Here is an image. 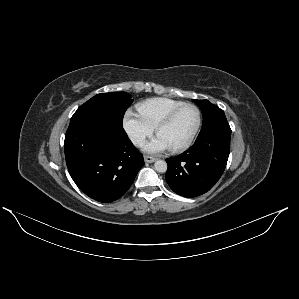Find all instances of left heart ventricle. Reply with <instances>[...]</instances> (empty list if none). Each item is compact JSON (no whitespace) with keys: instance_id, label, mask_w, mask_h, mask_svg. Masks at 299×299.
<instances>
[{"instance_id":"b2bd125f","label":"left heart ventricle","mask_w":299,"mask_h":299,"mask_svg":"<svg viewBox=\"0 0 299 299\" xmlns=\"http://www.w3.org/2000/svg\"><path fill=\"white\" fill-rule=\"evenodd\" d=\"M197 124V112L192 107L182 109L173 121L161 129L162 136L171 148L186 142Z\"/></svg>"}]
</instances>
